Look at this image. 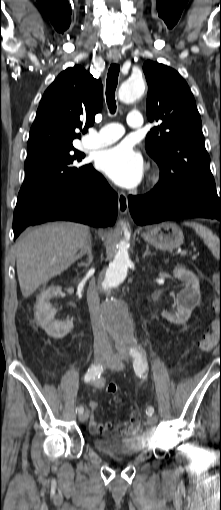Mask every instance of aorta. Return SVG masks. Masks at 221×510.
Returning a JSON list of instances; mask_svg holds the SVG:
<instances>
[{
    "instance_id": "762f6f07",
    "label": "aorta",
    "mask_w": 221,
    "mask_h": 510,
    "mask_svg": "<svg viewBox=\"0 0 221 510\" xmlns=\"http://www.w3.org/2000/svg\"><path fill=\"white\" fill-rule=\"evenodd\" d=\"M145 92V83L142 78H130L123 82L119 88V100L123 103H132ZM122 229H128L122 223ZM129 244L124 240L119 242L118 250L109 263L106 272L99 282V289L105 295L103 302V318L108 329L113 333L119 347H128L133 343L132 325L127 310L122 303L112 295V291L122 284L127 277L129 258Z\"/></svg>"
}]
</instances>
